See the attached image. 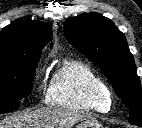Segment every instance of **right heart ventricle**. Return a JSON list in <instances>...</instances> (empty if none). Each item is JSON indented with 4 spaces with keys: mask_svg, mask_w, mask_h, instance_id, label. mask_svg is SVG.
Wrapping results in <instances>:
<instances>
[{
    "mask_svg": "<svg viewBox=\"0 0 142 128\" xmlns=\"http://www.w3.org/2000/svg\"><path fill=\"white\" fill-rule=\"evenodd\" d=\"M46 102L73 110L105 113L110 110L112 95L105 80L89 63L68 59L53 71Z\"/></svg>",
    "mask_w": 142,
    "mask_h": 128,
    "instance_id": "e07e8e85",
    "label": "right heart ventricle"
}]
</instances>
